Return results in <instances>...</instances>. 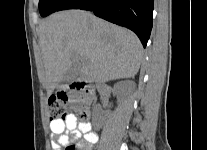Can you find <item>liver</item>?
Returning a JSON list of instances; mask_svg holds the SVG:
<instances>
[{
  "instance_id": "obj_1",
  "label": "liver",
  "mask_w": 207,
  "mask_h": 150,
  "mask_svg": "<svg viewBox=\"0 0 207 150\" xmlns=\"http://www.w3.org/2000/svg\"><path fill=\"white\" fill-rule=\"evenodd\" d=\"M39 43L48 96L78 60L81 78L99 83L132 78L142 62V45L133 32L81 10L57 12L43 20Z\"/></svg>"
}]
</instances>
